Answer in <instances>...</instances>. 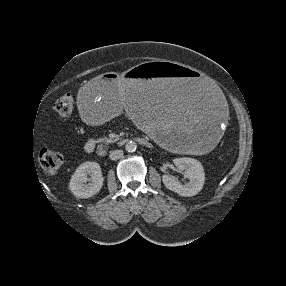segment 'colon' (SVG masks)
Here are the masks:
<instances>
[{
  "instance_id": "colon-1",
  "label": "colon",
  "mask_w": 286,
  "mask_h": 286,
  "mask_svg": "<svg viewBox=\"0 0 286 286\" xmlns=\"http://www.w3.org/2000/svg\"><path fill=\"white\" fill-rule=\"evenodd\" d=\"M74 100L71 96L60 97L54 104L55 113L60 118H67L72 114ZM39 162L45 173L55 174L63 164V156L59 152L49 149H41L39 152Z\"/></svg>"
}]
</instances>
